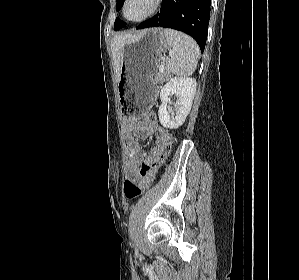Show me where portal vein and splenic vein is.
Masks as SVG:
<instances>
[{
  "label": "portal vein and splenic vein",
  "instance_id": "portal-vein-and-splenic-vein-1",
  "mask_svg": "<svg viewBox=\"0 0 299 280\" xmlns=\"http://www.w3.org/2000/svg\"><path fill=\"white\" fill-rule=\"evenodd\" d=\"M164 69H165V66L162 64V65H160V67H159V71H164Z\"/></svg>",
  "mask_w": 299,
  "mask_h": 280
}]
</instances>
